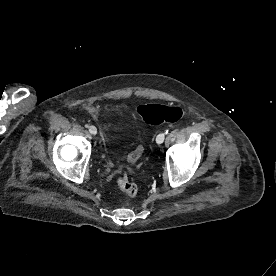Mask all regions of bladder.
Listing matches in <instances>:
<instances>
[{"instance_id":"31cf9c89","label":"bladder","mask_w":276,"mask_h":276,"mask_svg":"<svg viewBox=\"0 0 276 276\" xmlns=\"http://www.w3.org/2000/svg\"><path fill=\"white\" fill-rule=\"evenodd\" d=\"M131 158H134V151L129 154Z\"/></svg>"}]
</instances>
